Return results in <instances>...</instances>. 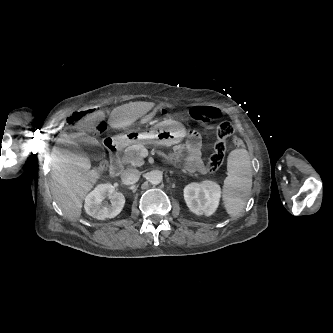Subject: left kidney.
I'll return each instance as SVG.
<instances>
[{"mask_svg":"<svg viewBox=\"0 0 333 333\" xmlns=\"http://www.w3.org/2000/svg\"><path fill=\"white\" fill-rule=\"evenodd\" d=\"M221 197L220 186L214 181L192 183L185 187L184 198L189 209L198 215H212Z\"/></svg>","mask_w":333,"mask_h":333,"instance_id":"obj_1","label":"left kidney"}]
</instances>
